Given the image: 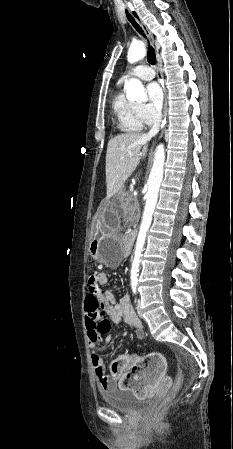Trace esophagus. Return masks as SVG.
Listing matches in <instances>:
<instances>
[{"label":"esophagus","mask_w":233,"mask_h":449,"mask_svg":"<svg viewBox=\"0 0 233 449\" xmlns=\"http://www.w3.org/2000/svg\"><path fill=\"white\" fill-rule=\"evenodd\" d=\"M129 11H130V14L132 15V17L135 19V21H136V22L142 27V29L144 30V32H145V34H146V36H147V38H148L150 44L154 45V38H153V35H152V33L150 32V30L148 29V27L146 26V24H145V23L143 22V20L141 19L139 13H138L136 10L132 9V8H130ZM163 91H164L163 117H165L166 112H167V99H166V91H165L164 88H163Z\"/></svg>","instance_id":"34e87169"}]
</instances>
